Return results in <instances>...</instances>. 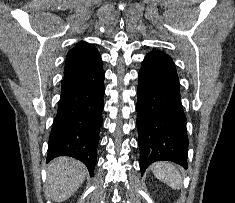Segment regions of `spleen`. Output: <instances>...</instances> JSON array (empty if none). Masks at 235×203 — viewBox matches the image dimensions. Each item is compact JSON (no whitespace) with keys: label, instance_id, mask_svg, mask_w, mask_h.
<instances>
[{"label":"spleen","instance_id":"spleen-1","mask_svg":"<svg viewBox=\"0 0 235 203\" xmlns=\"http://www.w3.org/2000/svg\"><path fill=\"white\" fill-rule=\"evenodd\" d=\"M151 170L154 176L172 189H180L183 184L182 176L176 166L170 162H156Z\"/></svg>","mask_w":235,"mask_h":203}]
</instances>
